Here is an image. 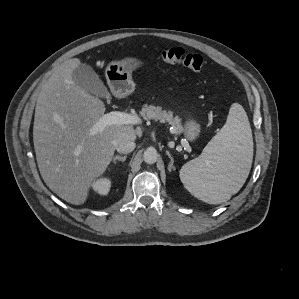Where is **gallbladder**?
<instances>
[{
  "mask_svg": "<svg viewBox=\"0 0 299 299\" xmlns=\"http://www.w3.org/2000/svg\"><path fill=\"white\" fill-rule=\"evenodd\" d=\"M74 83L84 91L100 97H109V92L100 80L99 76L87 64H80L72 72Z\"/></svg>",
  "mask_w": 299,
  "mask_h": 299,
  "instance_id": "bac80fb5",
  "label": "gallbladder"
}]
</instances>
